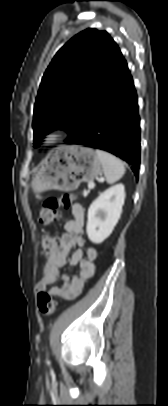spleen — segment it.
Instances as JSON below:
<instances>
[{
	"label": "spleen",
	"instance_id": "3e777b00",
	"mask_svg": "<svg viewBox=\"0 0 168 406\" xmlns=\"http://www.w3.org/2000/svg\"><path fill=\"white\" fill-rule=\"evenodd\" d=\"M96 155L103 167V173L109 184L118 181L125 173V166L123 162L114 155L102 151L96 150Z\"/></svg>",
	"mask_w": 168,
	"mask_h": 406
}]
</instances>
